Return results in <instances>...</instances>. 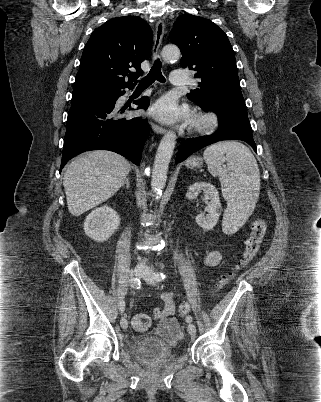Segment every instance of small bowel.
<instances>
[{"label": "small bowel", "instance_id": "small-bowel-1", "mask_svg": "<svg viewBox=\"0 0 321 402\" xmlns=\"http://www.w3.org/2000/svg\"><path fill=\"white\" fill-rule=\"evenodd\" d=\"M221 253L218 250L208 252L204 258V263L209 267L218 265L221 261ZM162 300L164 306L154 310V316L158 320L156 333L170 343H175L182 338L180 325L174 314L176 312L175 303L170 293H163Z\"/></svg>", "mask_w": 321, "mask_h": 402}]
</instances>
